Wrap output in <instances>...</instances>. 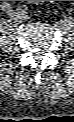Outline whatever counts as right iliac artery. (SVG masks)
Listing matches in <instances>:
<instances>
[{"mask_svg": "<svg viewBox=\"0 0 74 122\" xmlns=\"http://www.w3.org/2000/svg\"><path fill=\"white\" fill-rule=\"evenodd\" d=\"M2 10L9 12L11 10V5L8 2H4L1 5Z\"/></svg>", "mask_w": 74, "mask_h": 122, "instance_id": "82829eb1", "label": "right iliac artery"}]
</instances>
